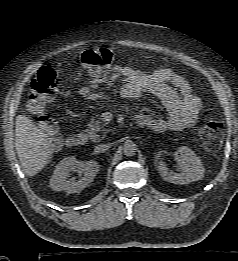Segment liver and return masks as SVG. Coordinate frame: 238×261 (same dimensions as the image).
Segmentation results:
<instances>
[{
    "instance_id": "6515ba94",
    "label": "liver",
    "mask_w": 238,
    "mask_h": 261,
    "mask_svg": "<svg viewBox=\"0 0 238 261\" xmlns=\"http://www.w3.org/2000/svg\"><path fill=\"white\" fill-rule=\"evenodd\" d=\"M15 125L16 152L24 172L32 177L50 163L52 140L26 115H18Z\"/></svg>"
}]
</instances>
